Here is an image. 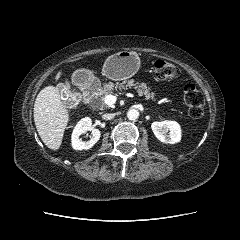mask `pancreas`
I'll return each mask as SVG.
<instances>
[{
  "label": "pancreas",
  "mask_w": 240,
  "mask_h": 240,
  "mask_svg": "<svg viewBox=\"0 0 240 240\" xmlns=\"http://www.w3.org/2000/svg\"><path fill=\"white\" fill-rule=\"evenodd\" d=\"M134 88L140 95H144L147 99L155 101V93L145 83L134 82V80H125L121 83L109 82L104 83L99 91L96 92L95 101L92 103V108L96 110H105L108 106L105 104L104 99L107 95L112 94L114 90Z\"/></svg>",
  "instance_id": "pancreas-1"
}]
</instances>
